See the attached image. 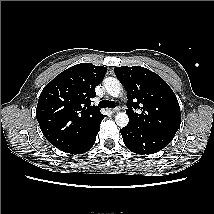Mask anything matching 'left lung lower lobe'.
Returning a JSON list of instances; mask_svg holds the SVG:
<instances>
[{
  "label": "left lung lower lobe",
  "mask_w": 214,
  "mask_h": 214,
  "mask_svg": "<svg viewBox=\"0 0 214 214\" xmlns=\"http://www.w3.org/2000/svg\"><path fill=\"white\" fill-rule=\"evenodd\" d=\"M126 147L137 154H153L166 147L174 136L128 124L120 130Z\"/></svg>",
  "instance_id": "left-lung-lower-lobe-1"
}]
</instances>
